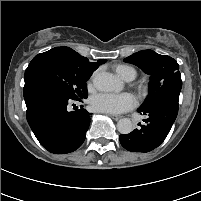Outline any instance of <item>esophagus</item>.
Returning <instances> with one entry per match:
<instances>
[{
    "label": "esophagus",
    "mask_w": 201,
    "mask_h": 201,
    "mask_svg": "<svg viewBox=\"0 0 201 201\" xmlns=\"http://www.w3.org/2000/svg\"><path fill=\"white\" fill-rule=\"evenodd\" d=\"M109 116L114 120H118L121 118L120 116H117V115H109Z\"/></svg>",
    "instance_id": "esophagus-1"
}]
</instances>
